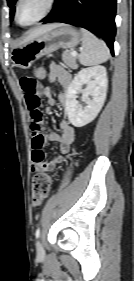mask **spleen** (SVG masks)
<instances>
[{"mask_svg": "<svg viewBox=\"0 0 134 281\" xmlns=\"http://www.w3.org/2000/svg\"><path fill=\"white\" fill-rule=\"evenodd\" d=\"M81 33L82 51L79 55L80 63L84 66H92L107 61L110 57V51L106 43L86 29H81Z\"/></svg>", "mask_w": 134, "mask_h": 281, "instance_id": "obj_1", "label": "spleen"}]
</instances>
